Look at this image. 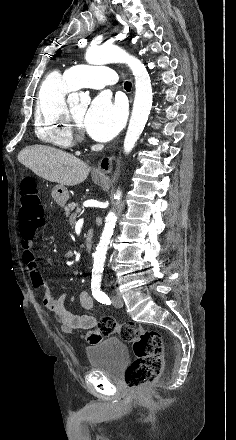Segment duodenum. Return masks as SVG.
<instances>
[{
    "label": "duodenum",
    "instance_id": "410a0bca",
    "mask_svg": "<svg viewBox=\"0 0 236 440\" xmlns=\"http://www.w3.org/2000/svg\"><path fill=\"white\" fill-rule=\"evenodd\" d=\"M94 239V231L93 229H88L85 234V250L89 252L92 248Z\"/></svg>",
    "mask_w": 236,
    "mask_h": 440
}]
</instances>
